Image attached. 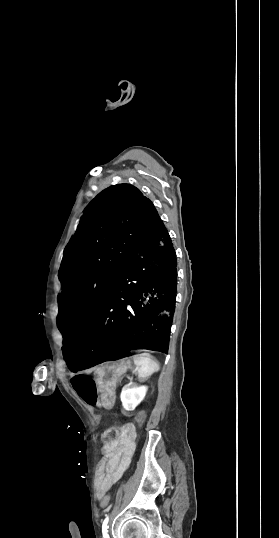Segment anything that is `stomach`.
Here are the masks:
<instances>
[{
	"label": "stomach",
	"mask_w": 279,
	"mask_h": 538,
	"mask_svg": "<svg viewBox=\"0 0 279 538\" xmlns=\"http://www.w3.org/2000/svg\"><path fill=\"white\" fill-rule=\"evenodd\" d=\"M127 362L125 358H113L111 363H98L96 369L97 393L102 399L101 406L110 408L115 398V386L112 382L119 381V374L125 373Z\"/></svg>",
	"instance_id": "obj_1"
}]
</instances>
